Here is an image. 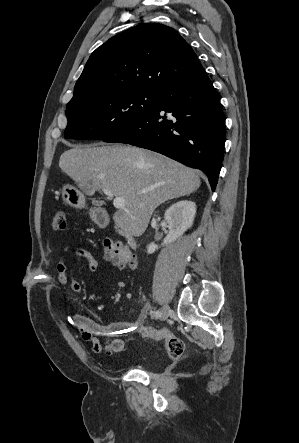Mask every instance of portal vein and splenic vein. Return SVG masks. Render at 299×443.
<instances>
[{
    "mask_svg": "<svg viewBox=\"0 0 299 443\" xmlns=\"http://www.w3.org/2000/svg\"><path fill=\"white\" fill-rule=\"evenodd\" d=\"M102 191H103V193H104L106 196L111 197V198L114 197L113 193H112L110 190H108V189H102ZM113 205H114V207L117 208V209H123V208L126 206V202H125V200H124L123 198H121V197H114V199H113Z\"/></svg>",
    "mask_w": 299,
    "mask_h": 443,
    "instance_id": "1",
    "label": "portal vein and splenic vein"
}]
</instances>
